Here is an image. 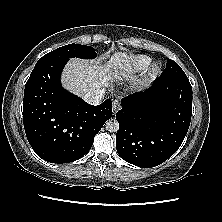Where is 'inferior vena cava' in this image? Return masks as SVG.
I'll return each mask as SVG.
<instances>
[{"label": "inferior vena cava", "mask_w": 222, "mask_h": 222, "mask_svg": "<svg viewBox=\"0 0 222 222\" xmlns=\"http://www.w3.org/2000/svg\"><path fill=\"white\" fill-rule=\"evenodd\" d=\"M105 89H96L89 91L83 96V99L91 105H99L105 97Z\"/></svg>", "instance_id": "obj_1"}]
</instances>
